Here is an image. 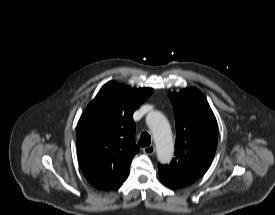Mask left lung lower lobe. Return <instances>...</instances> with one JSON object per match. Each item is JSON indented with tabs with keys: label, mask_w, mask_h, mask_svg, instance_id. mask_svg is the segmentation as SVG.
Here are the masks:
<instances>
[{
	"label": "left lung lower lobe",
	"mask_w": 275,
	"mask_h": 215,
	"mask_svg": "<svg viewBox=\"0 0 275 215\" xmlns=\"http://www.w3.org/2000/svg\"><path fill=\"white\" fill-rule=\"evenodd\" d=\"M161 182L169 188H181L187 186V184L180 183L170 179L165 172L158 171Z\"/></svg>",
	"instance_id": "obj_1"
}]
</instances>
